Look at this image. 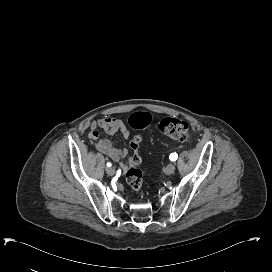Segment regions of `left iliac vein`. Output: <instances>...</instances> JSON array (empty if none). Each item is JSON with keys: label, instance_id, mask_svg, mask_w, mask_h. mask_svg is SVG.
<instances>
[{"label": "left iliac vein", "instance_id": "4c4485c4", "mask_svg": "<svg viewBox=\"0 0 272 272\" xmlns=\"http://www.w3.org/2000/svg\"><path fill=\"white\" fill-rule=\"evenodd\" d=\"M174 171H175V164L174 163H169L165 168V173L167 175H171Z\"/></svg>", "mask_w": 272, "mask_h": 272}]
</instances>
